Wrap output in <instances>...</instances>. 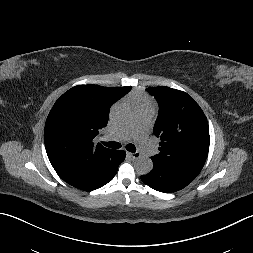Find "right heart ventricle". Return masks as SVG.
<instances>
[{
	"label": "right heart ventricle",
	"mask_w": 253,
	"mask_h": 253,
	"mask_svg": "<svg viewBox=\"0 0 253 253\" xmlns=\"http://www.w3.org/2000/svg\"><path fill=\"white\" fill-rule=\"evenodd\" d=\"M138 105L141 107H152L151 103L146 98L140 99Z\"/></svg>",
	"instance_id": "right-heart-ventricle-1"
}]
</instances>
